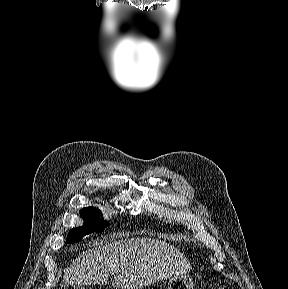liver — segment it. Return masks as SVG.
Returning a JSON list of instances; mask_svg holds the SVG:
<instances>
[{"instance_id": "obj_1", "label": "liver", "mask_w": 288, "mask_h": 289, "mask_svg": "<svg viewBox=\"0 0 288 289\" xmlns=\"http://www.w3.org/2000/svg\"><path fill=\"white\" fill-rule=\"evenodd\" d=\"M64 271L66 285L107 284L137 289L191 270L186 257L171 244L152 238H132L113 243L96 241Z\"/></svg>"}]
</instances>
